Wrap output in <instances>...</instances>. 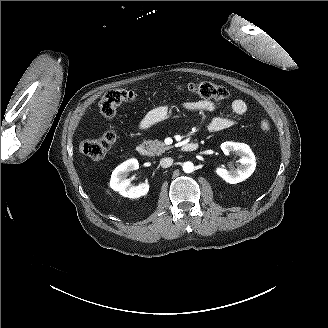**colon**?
<instances>
[{
  "label": "colon",
  "instance_id": "obj_1",
  "mask_svg": "<svg viewBox=\"0 0 328 328\" xmlns=\"http://www.w3.org/2000/svg\"><path fill=\"white\" fill-rule=\"evenodd\" d=\"M178 91H186L196 94L207 100L222 102L229 97L228 90L220 85L211 82L188 83L179 85ZM138 94L127 89H113L108 91L102 97L99 110L107 119H112L118 107L124 103L133 102L138 98ZM260 128L264 132L270 130V123L267 120L260 122ZM116 140V135L112 130L106 131L101 137L92 140L83 141L80 144V152L91 159L97 160L103 158L111 149Z\"/></svg>",
  "mask_w": 328,
  "mask_h": 328
}]
</instances>
